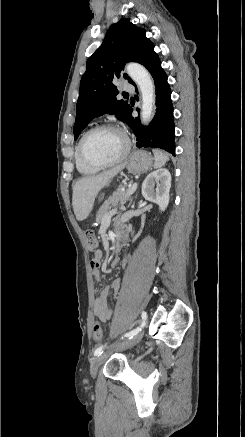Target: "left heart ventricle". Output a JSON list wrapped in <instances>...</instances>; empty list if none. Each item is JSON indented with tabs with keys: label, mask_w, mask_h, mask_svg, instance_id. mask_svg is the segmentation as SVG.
I'll list each match as a JSON object with an SVG mask.
<instances>
[{
	"label": "left heart ventricle",
	"mask_w": 245,
	"mask_h": 437,
	"mask_svg": "<svg viewBox=\"0 0 245 437\" xmlns=\"http://www.w3.org/2000/svg\"><path fill=\"white\" fill-rule=\"evenodd\" d=\"M122 135L114 130H101L91 134L85 141L86 155L98 162L116 159L124 150Z\"/></svg>",
	"instance_id": "1"
}]
</instances>
